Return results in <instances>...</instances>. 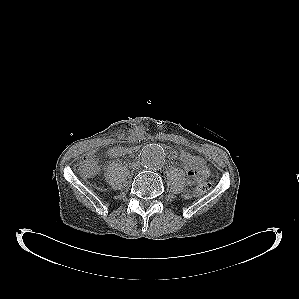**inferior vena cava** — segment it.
Returning <instances> with one entry per match:
<instances>
[{"label":"inferior vena cava","mask_w":299,"mask_h":299,"mask_svg":"<svg viewBox=\"0 0 299 299\" xmlns=\"http://www.w3.org/2000/svg\"><path fill=\"white\" fill-rule=\"evenodd\" d=\"M134 166H135V167H138L139 165H138V164H135Z\"/></svg>","instance_id":"obj_1"}]
</instances>
